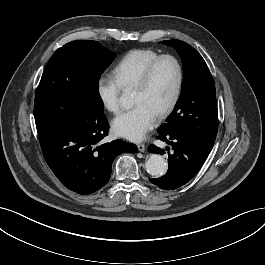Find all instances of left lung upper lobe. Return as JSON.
<instances>
[{
	"instance_id": "obj_1",
	"label": "left lung upper lobe",
	"mask_w": 265,
	"mask_h": 265,
	"mask_svg": "<svg viewBox=\"0 0 265 265\" xmlns=\"http://www.w3.org/2000/svg\"><path fill=\"white\" fill-rule=\"evenodd\" d=\"M181 56L184 68L180 98L159 134H177L193 139L210 152L218 130L216 90L202 56L189 44L174 39L162 41Z\"/></svg>"
}]
</instances>
